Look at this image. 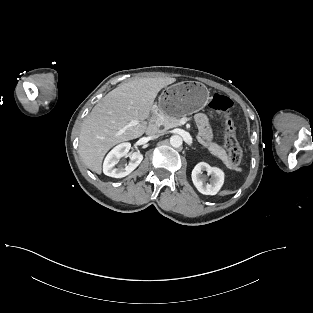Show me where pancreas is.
I'll list each match as a JSON object with an SVG mask.
<instances>
[{"label": "pancreas", "instance_id": "obj_1", "mask_svg": "<svg viewBox=\"0 0 313 313\" xmlns=\"http://www.w3.org/2000/svg\"><path fill=\"white\" fill-rule=\"evenodd\" d=\"M158 124L163 125L164 129L167 130L180 126V118L161 113L159 115ZM197 140L200 144L205 146L213 156L219 158L227 168L238 170V167L230 161L226 151L220 145L213 142H206L199 135L197 136Z\"/></svg>", "mask_w": 313, "mask_h": 313}]
</instances>
